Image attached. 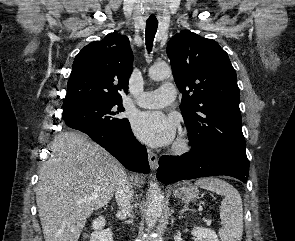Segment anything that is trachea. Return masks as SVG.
Masks as SVG:
<instances>
[{
	"mask_svg": "<svg viewBox=\"0 0 295 241\" xmlns=\"http://www.w3.org/2000/svg\"><path fill=\"white\" fill-rule=\"evenodd\" d=\"M158 21L157 20H147L146 21V31H145V38H146V47L148 52L152 50L153 47V40L155 34L157 32Z\"/></svg>",
	"mask_w": 295,
	"mask_h": 241,
	"instance_id": "1",
	"label": "trachea"
}]
</instances>
